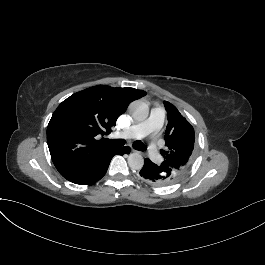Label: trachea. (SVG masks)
<instances>
[{
	"label": "trachea",
	"mask_w": 265,
	"mask_h": 265,
	"mask_svg": "<svg viewBox=\"0 0 265 265\" xmlns=\"http://www.w3.org/2000/svg\"><path fill=\"white\" fill-rule=\"evenodd\" d=\"M106 143L109 145H112L114 147H122L125 144V140H123V139H107ZM133 147L136 150H141V151L146 149V146L139 141H135L133 143Z\"/></svg>",
	"instance_id": "3493384b"
}]
</instances>
